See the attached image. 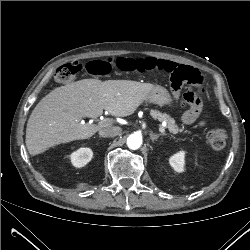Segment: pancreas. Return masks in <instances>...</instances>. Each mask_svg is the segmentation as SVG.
I'll list each match as a JSON object with an SVG mask.
<instances>
[{
	"label": "pancreas",
	"instance_id": "obj_1",
	"mask_svg": "<svg viewBox=\"0 0 250 250\" xmlns=\"http://www.w3.org/2000/svg\"><path fill=\"white\" fill-rule=\"evenodd\" d=\"M150 114L154 119H158L161 122L165 121L167 123L168 130L173 134H177L181 132L190 133V131H184L183 128H179L176 125L175 120L171 118L169 115H167L166 113H161L157 110H151Z\"/></svg>",
	"mask_w": 250,
	"mask_h": 250
}]
</instances>
